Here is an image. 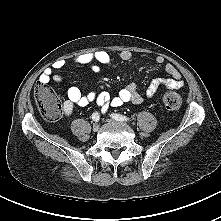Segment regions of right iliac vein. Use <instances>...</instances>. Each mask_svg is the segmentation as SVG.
Instances as JSON below:
<instances>
[{"mask_svg": "<svg viewBox=\"0 0 221 221\" xmlns=\"http://www.w3.org/2000/svg\"><path fill=\"white\" fill-rule=\"evenodd\" d=\"M99 128H100V124L98 123V122H95L94 124H93V131H98L99 130Z\"/></svg>", "mask_w": 221, "mask_h": 221, "instance_id": "obj_1", "label": "right iliac vein"}]
</instances>
